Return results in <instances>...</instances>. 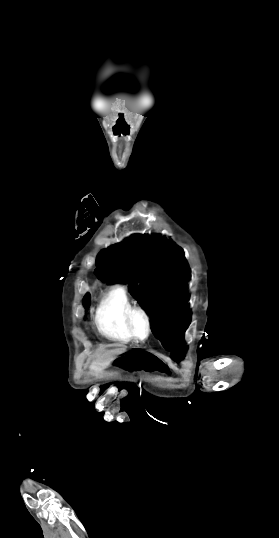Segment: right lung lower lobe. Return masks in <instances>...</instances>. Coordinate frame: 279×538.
<instances>
[{
    "mask_svg": "<svg viewBox=\"0 0 279 538\" xmlns=\"http://www.w3.org/2000/svg\"><path fill=\"white\" fill-rule=\"evenodd\" d=\"M90 302V294L87 293L83 298V305L87 309Z\"/></svg>",
    "mask_w": 279,
    "mask_h": 538,
    "instance_id": "right-lung-lower-lobe-1",
    "label": "right lung lower lobe"
}]
</instances>
